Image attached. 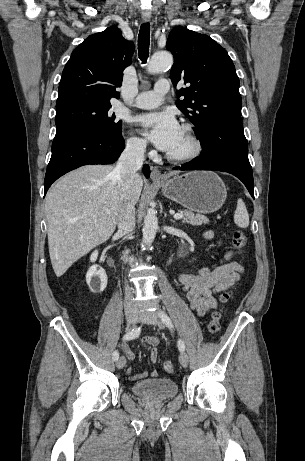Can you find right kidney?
Listing matches in <instances>:
<instances>
[{
    "label": "right kidney",
    "instance_id": "obj_1",
    "mask_svg": "<svg viewBox=\"0 0 305 461\" xmlns=\"http://www.w3.org/2000/svg\"><path fill=\"white\" fill-rule=\"evenodd\" d=\"M97 257L98 251L95 250L90 256V261L95 262ZM107 281V274L103 268H98L96 265L89 268L86 274V282L91 292L98 293L104 291L107 286Z\"/></svg>",
    "mask_w": 305,
    "mask_h": 461
}]
</instances>
